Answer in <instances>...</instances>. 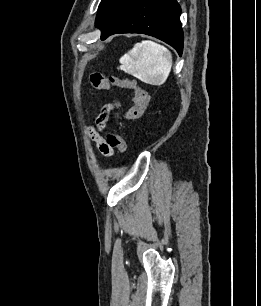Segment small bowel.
Segmentation results:
<instances>
[{"mask_svg":"<svg viewBox=\"0 0 261 306\" xmlns=\"http://www.w3.org/2000/svg\"><path fill=\"white\" fill-rule=\"evenodd\" d=\"M119 104H113V105H108L106 107H104L102 109V112L100 113V115L97 118V127L99 130H101L102 128H104L107 120H108V116L109 113L118 108ZM98 129L95 128H90L89 129V135L91 137V139L97 144L100 152L104 155V156H111L113 154V148H111L106 140L104 139V137L101 135V133L99 132Z\"/></svg>","mask_w":261,"mask_h":306,"instance_id":"c3829d8e","label":"small bowel"}]
</instances>
